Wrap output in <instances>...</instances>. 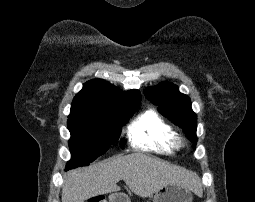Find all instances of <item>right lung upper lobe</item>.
<instances>
[{
    "mask_svg": "<svg viewBox=\"0 0 255 202\" xmlns=\"http://www.w3.org/2000/svg\"><path fill=\"white\" fill-rule=\"evenodd\" d=\"M138 90L122 92L103 79H92L74 97L71 116L106 115L140 104Z\"/></svg>",
    "mask_w": 255,
    "mask_h": 202,
    "instance_id": "1",
    "label": "right lung upper lobe"
}]
</instances>
